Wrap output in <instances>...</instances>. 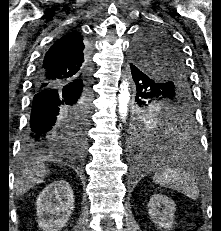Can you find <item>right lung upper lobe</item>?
I'll list each match as a JSON object with an SVG mask.
<instances>
[{"label": "right lung upper lobe", "mask_w": 221, "mask_h": 231, "mask_svg": "<svg viewBox=\"0 0 221 231\" xmlns=\"http://www.w3.org/2000/svg\"><path fill=\"white\" fill-rule=\"evenodd\" d=\"M91 73V64L82 36L71 32L58 39L40 65L34 88L50 84L81 82Z\"/></svg>", "instance_id": "1"}]
</instances>
